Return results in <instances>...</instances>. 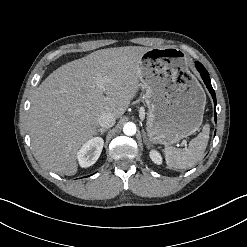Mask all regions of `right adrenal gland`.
I'll use <instances>...</instances> for the list:
<instances>
[{
  "instance_id": "1",
  "label": "right adrenal gland",
  "mask_w": 247,
  "mask_h": 247,
  "mask_svg": "<svg viewBox=\"0 0 247 247\" xmlns=\"http://www.w3.org/2000/svg\"><path fill=\"white\" fill-rule=\"evenodd\" d=\"M106 129L100 128L96 131V135H98L100 133L101 136H103L104 132H106Z\"/></svg>"
}]
</instances>
